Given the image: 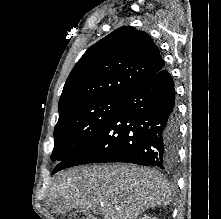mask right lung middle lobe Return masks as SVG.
Listing matches in <instances>:
<instances>
[{
	"instance_id": "obj_1",
	"label": "right lung middle lobe",
	"mask_w": 221,
	"mask_h": 219,
	"mask_svg": "<svg viewBox=\"0 0 221 219\" xmlns=\"http://www.w3.org/2000/svg\"><path fill=\"white\" fill-rule=\"evenodd\" d=\"M121 99H96L62 113L54 129L51 160L61 163L81 150L102 129Z\"/></svg>"
}]
</instances>
